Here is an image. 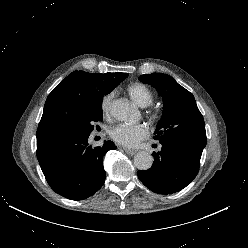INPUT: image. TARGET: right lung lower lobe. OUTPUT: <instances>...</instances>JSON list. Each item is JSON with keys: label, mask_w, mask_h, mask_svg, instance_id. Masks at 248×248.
Returning a JSON list of instances; mask_svg holds the SVG:
<instances>
[{"label": "right lung lower lobe", "mask_w": 248, "mask_h": 248, "mask_svg": "<svg viewBox=\"0 0 248 248\" xmlns=\"http://www.w3.org/2000/svg\"><path fill=\"white\" fill-rule=\"evenodd\" d=\"M90 133L54 128L37 136V158L50 187L71 200H82L104 184L103 156L116 149L110 140L101 147L88 144Z\"/></svg>", "instance_id": "98d812e1"}]
</instances>
